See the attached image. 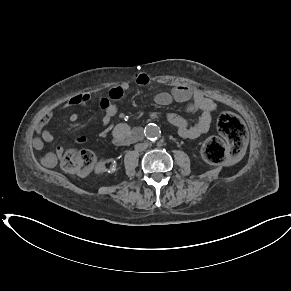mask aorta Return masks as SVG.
<instances>
[{
	"mask_svg": "<svg viewBox=\"0 0 291 291\" xmlns=\"http://www.w3.org/2000/svg\"><path fill=\"white\" fill-rule=\"evenodd\" d=\"M144 133L148 139L156 140L160 136L161 130L158 125L150 123L145 127Z\"/></svg>",
	"mask_w": 291,
	"mask_h": 291,
	"instance_id": "762f6f07",
	"label": "aorta"
}]
</instances>
